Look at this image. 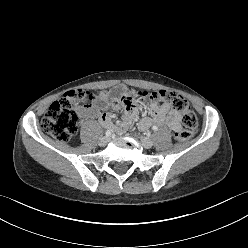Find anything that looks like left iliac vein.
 Here are the masks:
<instances>
[{
    "instance_id": "obj_1",
    "label": "left iliac vein",
    "mask_w": 248,
    "mask_h": 248,
    "mask_svg": "<svg viewBox=\"0 0 248 248\" xmlns=\"http://www.w3.org/2000/svg\"><path fill=\"white\" fill-rule=\"evenodd\" d=\"M141 144L144 148L150 149L153 146V141L148 137H141Z\"/></svg>"
}]
</instances>
